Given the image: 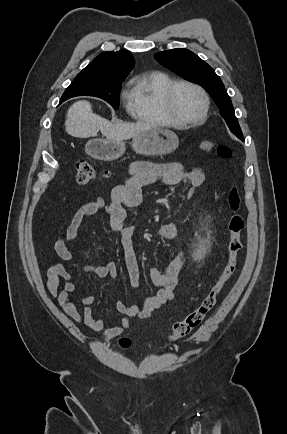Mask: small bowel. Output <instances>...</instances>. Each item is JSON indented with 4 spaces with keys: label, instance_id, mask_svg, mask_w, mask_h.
Returning <instances> with one entry per match:
<instances>
[{
    "label": "small bowel",
    "instance_id": "c3829d8e",
    "mask_svg": "<svg viewBox=\"0 0 287 434\" xmlns=\"http://www.w3.org/2000/svg\"><path fill=\"white\" fill-rule=\"evenodd\" d=\"M204 173L198 168L184 169L179 163L154 164L147 161H135L129 168L128 175L113 191L110 202L106 203L99 197L82 205L72 216L69 224L57 234L54 249L63 261H74V255L68 244L76 245L81 226L98 212H103L110 219V225L118 238L125 254L126 268L133 286L140 284V272L137 258L133 250V237L137 228L134 225L124 226L123 220L127 211L139 206L141 190L151 184H162L168 187L179 185L189 186L186 198L191 199L194 190L204 182ZM180 232L175 222L163 224L158 230L161 239L168 240L176 237ZM186 259V251L182 250L164 269L151 268L150 277L158 287L155 294L145 299L141 305H126L121 301L115 303V308L123 317L114 326L108 327L102 318H96L92 311L95 298L92 295L80 297L83 309L80 312L72 298L77 287L73 282V275L60 261L51 264L47 271V289L57 298L59 305L67 316L75 322H83L92 331L101 332L104 340L112 339L124 332L130 324V318L137 316L146 319L163 305L174 299V290L179 283L180 272ZM85 273H91L99 278L117 279L119 272L115 261L105 265H82Z\"/></svg>",
    "mask_w": 287,
    "mask_h": 434
}]
</instances>
